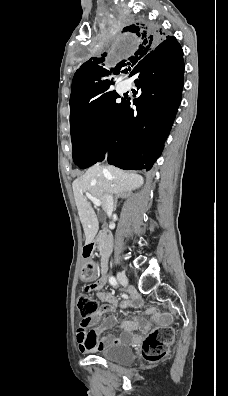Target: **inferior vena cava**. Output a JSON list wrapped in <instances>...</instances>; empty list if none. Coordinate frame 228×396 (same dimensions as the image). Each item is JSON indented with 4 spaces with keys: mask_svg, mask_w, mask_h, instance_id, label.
Returning <instances> with one entry per match:
<instances>
[{
    "mask_svg": "<svg viewBox=\"0 0 228 396\" xmlns=\"http://www.w3.org/2000/svg\"><path fill=\"white\" fill-rule=\"evenodd\" d=\"M114 209L113 196L111 194L105 195V210L107 215L110 217Z\"/></svg>",
    "mask_w": 228,
    "mask_h": 396,
    "instance_id": "inferior-vena-cava-1",
    "label": "inferior vena cava"
}]
</instances>
